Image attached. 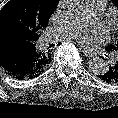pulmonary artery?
<instances>
[{"mask_svg":"<svg viewBox=\"0 0 118 118\" xmlns=\"http://www.w3.org/2000/svg\"><path fill=\"white\" fill-rule=\"evenodd\" d=\"M106 10V0H86L84 11L79 18L67 23L65 26L58 28L52 39H65L75 36L82 27L101 17ZM118 56H113L115 62Z\"/></svg>","mask_w":118,"mask_h":118,"instance_id":"pulmonary-artery-1","label":"pulmonary artery"}]
</instances>
